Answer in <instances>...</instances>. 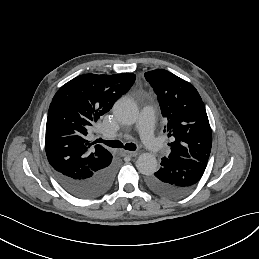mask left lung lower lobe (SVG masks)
Returning a JSON list of instances; mask_svg holds the SVG:
<instances>
[{
  "label": "left lung lower lobe",
  "mask_w": 259,
  "mask_h": 259,
  "mask_svg": "<svg viewBox=\"0 0 259 259\" xmlns=\"http://www.w3.org/2000/svg\"><path fill=\"white\" fill-rule=\"evenodd\" d=\"M207 164L190 158L164 157L161 168L147 178V185L156 194L177 198L190 192L201 179Z\"/></svg>",
  "instance_id": "0a47b994"
}]
</instances>
